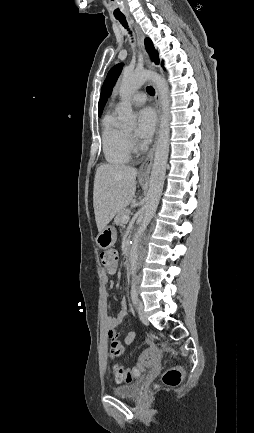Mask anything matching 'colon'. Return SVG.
Returning <instances> with one entry per match:
<instances>
[{"instance_id":"colon-1","label":"colon","mask_w":254,"mask_h":433,"mask_svg":"<svg viewBox=\"0 0 254 433\" xmlns=\"http://www.w3.org/2000/svg\"><path fill=\"white\" fill-rule=\"evenodd\" d=\"M117 260L118 255L115 250H107L101 253L100 261L108 275H113L117 271ZM113 351V350H110ZM155 357L149 352L145 351L141 354L138 364L133 369H124L122 367H115L114 376L118 382H131L133 379L138 377L145 368L154 363ZM183 379V372L180 368L173 367L168 369L163 375V383L170 387H176L180 385Z\"/></svg>"}]
</instances>
